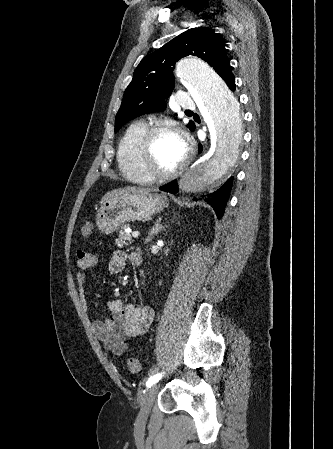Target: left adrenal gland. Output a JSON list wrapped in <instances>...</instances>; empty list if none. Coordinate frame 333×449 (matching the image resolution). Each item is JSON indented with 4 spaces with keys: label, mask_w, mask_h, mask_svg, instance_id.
<instances>
[{
    "label": "left adrenal gland",
    "mask_w": 333,
    "mask_h": 449,
    "mask_svg": "<svg viewBox=\"0 0 333 449\" xmlns=\"http://www.w3.org/2000/svg\"><path fill=\"white\" fill-rule=\"evenodd\" d=\"M166 227H167V226H166ZM164 228H165V226H163V225L161 224V219H159V220L156 222L155 226H154V227L151 229V231L149 232V234H148V236H147L145 242L151 241V240L154 238V236H155L156 234H158L159 232H161Z\"/></svg>",
    "instance_id": "a2214340"
}]
</instances>
